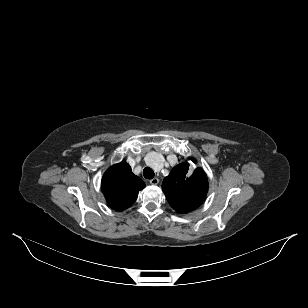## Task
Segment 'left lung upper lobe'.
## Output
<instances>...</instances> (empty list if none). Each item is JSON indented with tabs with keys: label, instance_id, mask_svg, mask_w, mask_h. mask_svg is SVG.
<instances>
[{
	"label": "left lung upper lobe",
	"instance_id": "1",
	"mask_svg": "<svg viewBox=\"0 0 308 308\" xmlns=\"http://www.w3.org/2000/svg\"><path fill=\"white\" fill-rule=\"evenodd\" d=\"M162 190L172 208L185 214L203 203L207 195L208 181L201 168H197L190 175L189 163L183 162L175 166L163 180Z\"/></svg>",
	"mask_w": 308,
	"mask_h": 308
}]
</instances>
